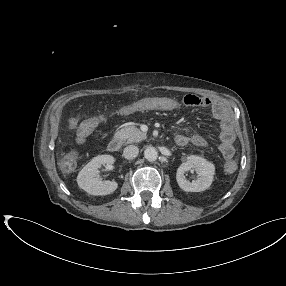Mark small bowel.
<instances>
[{
	"mask_svg": "<svg viewBox=\"0 0 286 286\" xmlns=\"http://www.w3.org/2000/svg\"><path fill=\"white\" fill-rule=\"evenodd\" d=\"M181 105L209 108L213 116L221 122V144L219 146L220 152L225 159H230L234 155V142L235 134L233 130V121L230 117L228 108L219 101H213L206 96H195L187 95L181 102L173 98L167 97H152L145 98L133 105L125 106L119 110L121 114H128L137 110H162V111H174L177 110ZM106 117L104 115H98L89 118L82 122L91 127V131L94 130L99 124H101ZM70 127L75 128L78 123L74 118L69 121ZM175 142L179 146H184L188 143H192L198 147H204L207 142L206 139L201 135L188 136L186 134H177Z\"/></svg>",
	"mask_w": 286,
	"mask_h": 286,
	"instance_id": "small-bowel-1",
	"label": "small bowel"
}]
</instances>
